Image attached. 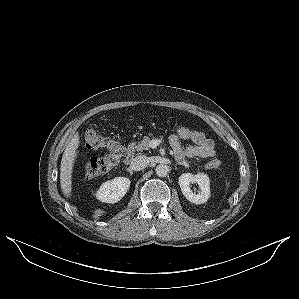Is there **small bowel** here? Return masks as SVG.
<instances>
[{
  "mask_svg": "<svg viewBox=\"0 0 299 299\" xmlns=\"http://www.w3.org/2000/svg\"><path fill=\"white\" fill-rule=\"evenodd\" d=\"M193 145L184 147L182 145V140L176 135L170 137V144L176 157L182 158H192V157H214L216 155L214 141L208 138L204 133L201 132L200 136L191 141Z\"/></svg>",
  "mask_w": 299,
  "mask_h": 299,
  "instance_id": "c3829d8e",
  "label": "small bowel"
}]
</instances>
